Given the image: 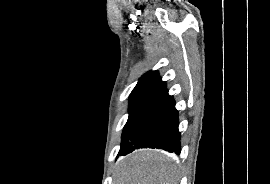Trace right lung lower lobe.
Instances as JSON below:
<instances>
[{
    "instance_id": "98d812e1",
    "label": "right lung lower lobe",
    "mask_w": 270,
    "mask_h": 184,
    "mask_svg": "<svg viewBox=\"0 0 270 184\" xmlns=\"http://www.w3.org/2000/svg\"><path fill=\"white\" fill-rule=\"evenodd\" d=\"M178 111L167 89L151 96L134 121L119 155L139 148H158L180 154Z\"/></svg>"
}]
</instances>
